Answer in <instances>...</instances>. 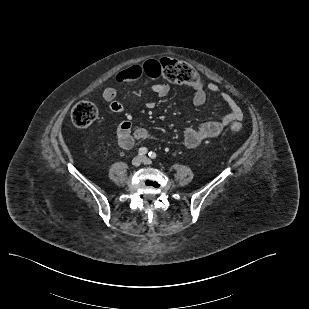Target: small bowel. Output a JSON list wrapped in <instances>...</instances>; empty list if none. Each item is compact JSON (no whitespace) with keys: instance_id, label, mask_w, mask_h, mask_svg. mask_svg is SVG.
Returning <instances> with one entry per match:
<instances>
[{"instance_id":"obj_1","label":"small bowel","mask_w":309,"mask_h":309,"mask_svg":"<svg viewBox=\"0 0 309 309\" xmlns=\"http://www.w3.org/2000/svg\"><path fill=\"white\" fill-rule=\"evenodd\" d=\"M158 78L160 75L155 66L149 65V61L135 64L122 69L115 76L117 83L133 82L141 77ZM151 91L158 97H166L170 91L167 83L161 82L152 85ZM207 91L218 94L229 109V113L220 120L207 121L198 126L188 127L184 131V142L190 149L197 148L201 143L208 139H212L221 134L225 127L234 122L243 119V112L238 103L228 93L223 92L215 83H209L205 86L199 82L193 86L192 102L195 106H202L207 99ZM117 91L114 87H105L102 91V97L109 103L112 112L120 113L124 110L121 102L116 100ZM147 108H153V101H146ZM149 132L144 128H135L132 121L127 119L122 121L117 127V139L120 147L123 149H131L137 141L147 140Z\"/></svg>"}]
</instances>
